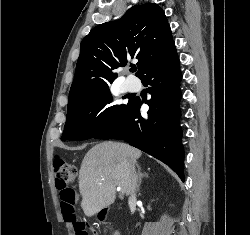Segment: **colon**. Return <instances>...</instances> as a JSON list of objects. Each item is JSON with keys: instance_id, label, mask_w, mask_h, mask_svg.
Returning a JSON list of instances; mask_svg holds the SVG:
<instances>
[{"instance_id": "obj_1", "label": "colon", "mask_w": 250, "mask_h": 235, "mask_svg": "<svg viewBox=\"0 0 250 235\" xmlns=\"http://www.w3.org/2000/svg\"><path fill=\"white\" fill-rule=\"evenodd\" d=\"M54 173L56 185L60 190V207L65 221L73 225L76 235H88L85 223L76 215V193L67 187L77 177L76 167L62 158H57L54 162Z\"/></svg>"}]
</instances>
